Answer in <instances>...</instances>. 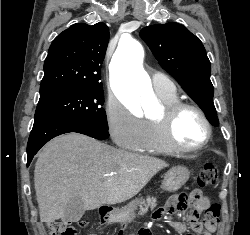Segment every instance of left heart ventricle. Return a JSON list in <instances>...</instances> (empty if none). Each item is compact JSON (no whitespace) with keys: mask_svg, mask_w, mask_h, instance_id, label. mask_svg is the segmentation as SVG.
Returning a JSON list of instances; mask_svg holds the SVG:
<instances>
[{"mask_svg":"<svg viewBox=\"0 0 250 235\" xmlns=\"http://www.w3.org/2000/svg\"><path fill=\"white\" fill-rule=\"evenodd\" d=\"M205 133V125L201 117L194 111H184L175 122L174 136L177 142L183 146H197L204 139Z\"/></svg>","mask_w":250,"mask_h":235,"instance_id":"obj_1","label":"left heart ventricle"}]
</instances>
